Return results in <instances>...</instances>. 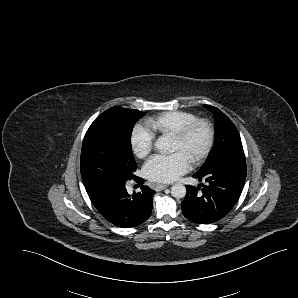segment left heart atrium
<instances>
[{"instance_id": "left-heart-atrium-1", "label": "left heart atrium", "mask_w": 298, "mask_h": 298, "mask_svg": "<svg viewBox=\"0 0 298 298\" xmlns=\"http://www.w3.org/2000/svg\"><path fill=\"white\" fill-rule=\"evenodd\" d=\"M187 169V163L178 152L153 155L144 165V175L155 182H170Z\"/></svg>"}]
</instances>
